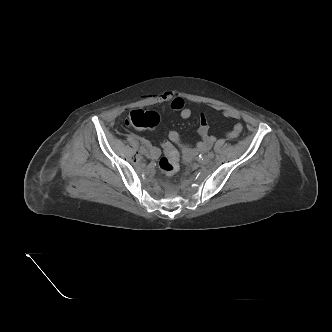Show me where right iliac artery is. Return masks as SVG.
<instances>
[{
  "label": "right iliac artery",
  "mask_w": 332,
  "mask_h": 332,
  "mask_svg": "<svg viewBox=\"0 0 332 332\" xmlns=\"http://www.w3.org/2000/svg\"><path fill=\"white\" fill-rule=\"evenodd\" d=\"M143 147H147L148 148V144L146 141L142 140L140 143Z\"/></svg>",
  "instance_id": "right-iliac-artery-1"
}]
</instances>
